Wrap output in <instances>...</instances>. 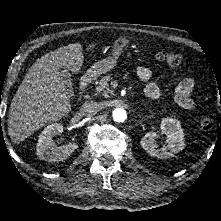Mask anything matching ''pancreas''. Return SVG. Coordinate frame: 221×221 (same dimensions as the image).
Returning <instances> with one entry per match:
<instances>
[{
    "label": "pancreas",
    "instance_id": "obj_1",
    "mask_svg": "<svg viewBox=\"0 0 221 221\" xmlns=\"http://www.w3.org/2000/svg\"><path fill=\"white\" fill-rule=\"evenodd\" d=\"M111 80L112 77L110 75L104 76L96 87L97 94H102L104 97H108L109 94H112L113 91L108 88V82Z\"/></svg>",
    "mask_w": 221,
    "mask_h": 221
}]
</instances>
